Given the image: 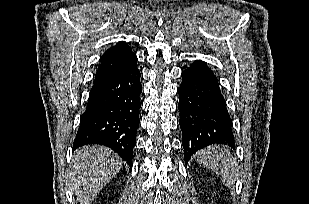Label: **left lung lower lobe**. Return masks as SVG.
Returning <instances> with one entry per match:
<instances>
[{
  "mask_svg": "<svg viewBox=\"0 0 309 204\" xmlns=\"http://www.w3.org/2000/svg\"><path fill=\"white\" fill-rule=\"evenodd\" d=\"M178 94L186 162L196 151L212 144L235 148L225 99L217 77L205 62L196 60L182 73Z\"/></svg>",
  "mask_w": 309,
  "mask_h": 204,
  "instance_id": "obj_1",
  "label": "left lung lower lobe"
}]
</instances>
